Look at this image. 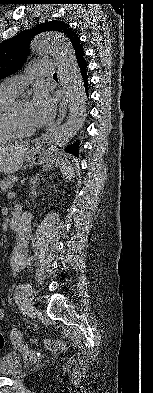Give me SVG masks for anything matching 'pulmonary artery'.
<instances>
[{
	"mask_svg": "<svg viewBox=\"0 0 153 393\" xmlns=\"http://www.w3.org/2000/svg\"><path fill=\"white\" fill-rule=\"evenodd\" d=\"M55 69V64L50 60H40L37 64L33 65L31 70L33 74L31 75H23V76H15L9 78L2 85L4 88L11 90L12 92L19 94L23 91L25 85L28 81L34 79V77L38 74H48L50 75L52 71Z\"/></svg>",
	"mask_w": 153,
	"mask_h": 393,
	"instance_id": "obj_1",
	"label": "pulmonary artery"
}]
</instances>
